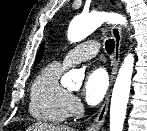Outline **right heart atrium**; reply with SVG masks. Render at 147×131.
Returning a JSON list of instances; mask_svg holds the SVG:
<instances>
[{"mask_svg":"<svg viewBox=\"0 0 147 131\" xmlns=\"http://www.w3.org/2000/svg\"><path fill=\"white\" fill-rule=\"evenodd\" d=\"M82 109L80 100L76 96H70L69 103H68V115L69 116H76L80 114Z\"/></svg>","mask_w":147,"mask_h":131,"instance_id":"d8ad5b80","label":"right heart atrium"}]
</instances>
